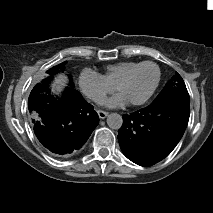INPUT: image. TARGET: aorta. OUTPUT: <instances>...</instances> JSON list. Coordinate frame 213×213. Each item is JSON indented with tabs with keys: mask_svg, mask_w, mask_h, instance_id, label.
Listing matches in <instances>:
<instances>
[{
	"mask_svg": "<svg viewBox=\"0 0 213 213\" xmlns=\"http://www.w3.org/2000/svg\"><path fill=\"white\" fill-rule=\"evenodd\" d=\"M107 125L112 130H119L123 124V118L118 113H110L106 119Z\"/></svg>",
	"mask_w": 213,
	"mask_h": 213,
	"instance_id": "obj_1",
	"label": "aorta"
}]
</instances>
